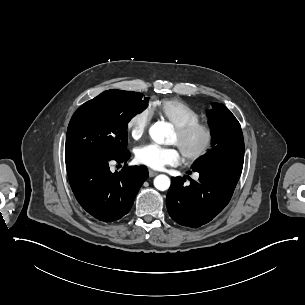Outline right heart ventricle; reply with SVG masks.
<instances>
[{
	"mask_svg": "<svg viewBox=\"0 0 305 305\" xmlns=\"http://www.w3.org/2000/svg\"><path fill=\"white\" fill-rule=\"evenodd\" d=\"M151 114L167 118L174 126L201 120L200 114L178 99H162L150 103Z\"/></svg>",
	"mask_w": 305,
	"mask_h": 305,
	"instance_id": "obj_1",
	"label": "right heart ventricle"
}]
</instances>
